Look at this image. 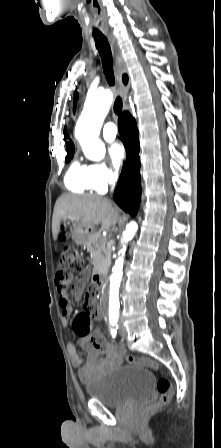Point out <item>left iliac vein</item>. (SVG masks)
I'll use <instances>...</instances> for the list:
<instances>
[{"label": "left iliac vein", "instance_id": "1", "mask_svg": "<svg viewBox=\"0 0 221 448\" xmlns=\"http://www.w3.org/2000/svg\"><path fill=\"white\" fill-rule=\"evenodd\" d=\"M119 333H120V336L122 338L125 339L127 337L126 329H125L124 325L121 322L119 323Z\"/></svg>", "mask_w": 221, "mask_h": 448}]
</instances>
